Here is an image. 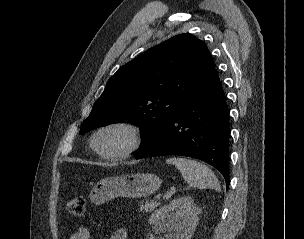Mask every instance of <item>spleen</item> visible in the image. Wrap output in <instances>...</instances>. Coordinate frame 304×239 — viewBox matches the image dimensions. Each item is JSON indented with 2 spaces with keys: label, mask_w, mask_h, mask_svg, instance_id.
Instances as JSON below:
<instances>
[{
  "label": "spleen",
  "mask_w": 304,
  "mask_h": 239,
  "mask_svg": "<svg viewBox=\"0 0 304 239\" xmlns=\"http://www.w3.org/2000/svg\"><path fill=\"white\" fill-rule=\"evenodd\" d=\"M175 165L183 178L194 188H211L220 191V184L215 174L205 164L188 158L173 157L167 160Z\"/></svg>",
  "instance_id": "spleen-1"
}]
</instances>
